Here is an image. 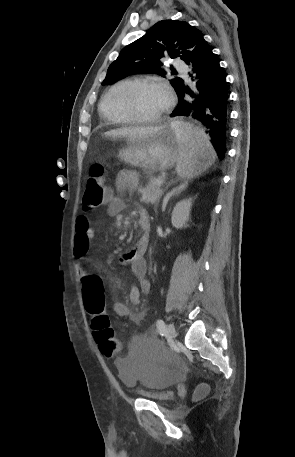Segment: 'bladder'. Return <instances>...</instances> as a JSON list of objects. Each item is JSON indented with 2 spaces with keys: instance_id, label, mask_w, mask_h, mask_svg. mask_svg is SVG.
I'll use <instances>...</instances> for the list:
<instances>
[{
  "instance_id": "bladder-1",
  "label": "bladder",
  "mask_w": 295,
  "mask_h": 457,
  "mask_svg": "<svg viewBox=\"0 0 295 457\" xmlns=\"http://www.w3.org/2000/svg\"><path fill=\"white\" fill-rule=\"evenodd\" d=\"M124 352L123 359L115 363L120 382L141 396L161 404L174 400V393L169 390L170 383H176V374L170 375L178 360V353L171 352L169 345L160 342H141L131 345ZM155 354V356H149Z\"/></svg>"
}]
</instances>
